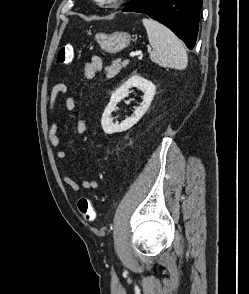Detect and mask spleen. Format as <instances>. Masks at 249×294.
<instances>
[{"instance_id":"spleen-1","label":"spleen","mask_w":249,"mask_h":294,"mask_svg":"<svg viewBox=\"0 0 249 294\" xmlns=\"http://www.w3.org/2000/svg\"><path fill=\"white\" fill-rule=\"evenodd\" d=\"M143 25L146 28L149 43L153 47L150 59L162 67L185 69L188 63L187 53L176 35L151 18H144Z\"/></svg>"}]
</instances>
